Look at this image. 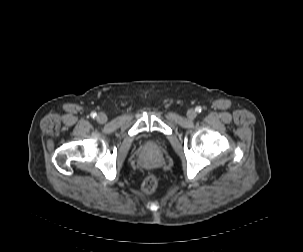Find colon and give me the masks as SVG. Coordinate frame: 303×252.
I'll use <instances>...</instances> for the list:
<instances>
[{"instance_id":"1","label":"colon","mask_w":303,"mask_h":252,"mask_svg":"<svg viewBox=\"0 0 303 252\" xmlns=\"http://www.w3.org/2000/svg\"><path fill=\"white\" fill-rule=\"evenodd\" d=\"M157 186L158 177L156 174L151 173L144 178L141 184V189L145 194H150L156 190Z\"/></svg>"}]
</instances>
